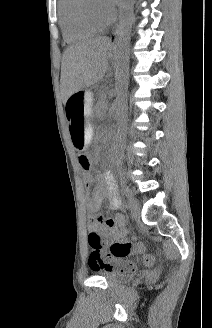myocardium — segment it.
<instances>
[{
    "mask_svg": "<svg viewBox=\"0 0 212 328\" xmlns=\"http://www.w3.org/2000/svg\"><path fill=\"white\" fill-rule=\"evenodd\" d=\"M82 15L89 24L101 29L111 25L115 19L114 12L108 18L100 17L92 7V0H83Z\"/></svg>",
    "mask_w": 212,
    "mask_h": 328,
    "instance_id": "1",
    "label": "myocardium"
}]
</instances>
